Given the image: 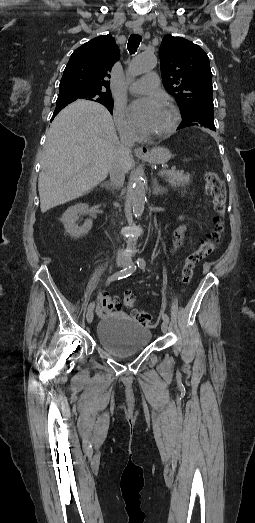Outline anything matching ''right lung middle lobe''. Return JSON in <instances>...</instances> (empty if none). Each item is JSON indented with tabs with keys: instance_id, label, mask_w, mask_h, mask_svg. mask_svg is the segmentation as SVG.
I'll use <instances>...</instances> for the list:
<instances>
[{
	"instance_id": "dd1d6c3e",
	"label": "right lung middle lobe",
	"mask_w": 255,
	"mask_h": 523,
	"mask_svg": "<svg viewBox=\"0 0 255 523\" xmlns=\"http://www.w3.org/2000/svg\"><path fill=\"white\" fill-rule=\"evenodd\" d=\"M85 98L98 103L112 102L111 94L100 93V92H88L83 90H62L58 95L56 102H67L71 103L77 99Z\"/></svg>"
}]
</instances>
